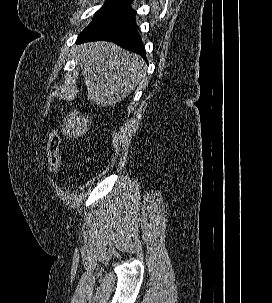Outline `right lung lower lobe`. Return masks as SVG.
<instances>
[{"instance_id":"right-lung-lower-lobe-1","label":"right lung lower lobe","mask_w":272,"mask_h":303,"mask_svg":"<svg viewBox=\"0 0 272 303\" xmlns=\"http://www.w3.org/2000/svg\"><path fill=\"white\" fill-rule=\"evenodd\" d=\"M111 41L124 49L136 52L146 58L145 48L137 32L135 15L104 25L90 32L81 33L77 42Z\"/></svg>"}]
</instances>
